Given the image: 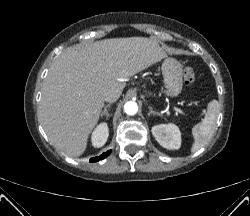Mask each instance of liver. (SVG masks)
<instances>
[{
	"label": "liver",
	"mask_w": 250,
	"mask_h": 216,
	"mask_svg": "<svg viewBox=\"0 0 250 216\" xmlns=\"http://www.w3.org/2000/svg\"><path fill=\"white\" fill-rule=\"evenodd\" d=\"M145 37L105 39L65 49L52 63L38 108L49 141L67 155L84 153L104 107V93L166 57Z\"/></svg>",
	"instance_id": "obj_1"
}]
</instances>
